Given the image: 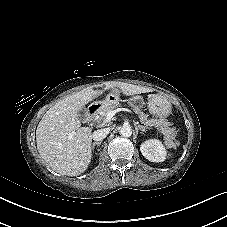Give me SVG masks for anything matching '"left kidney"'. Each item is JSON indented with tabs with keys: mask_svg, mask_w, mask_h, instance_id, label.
Returning <instances> with one entry per match:
<instances>
[{
	"mask_svg": "<svg viewBox=\"0 0 227 227\" xmlns=\"http://www.w3.org/2000/svg\"><path fill=\"white\" fill-rule=\"evenodd\" d=\"M142 155L151 162H163L166 159V150L162 142L157 139H148L140 146Z\"/></svg>",
	"mask_w": 227,
	"mask_h": 227,
	"instance_id": "obj_1",
	"label": "left kidney"
}]
</instances>
